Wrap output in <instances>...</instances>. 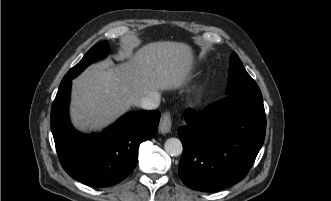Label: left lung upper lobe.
<instances>
[{"mask_svg": "<svg viewBox=\"0 0 331 201\" xmlns=\"http://www.w3.org/2000/svg\"><path fill=\"white\" fill-rule=\"evenodd\" d=\"M252 91H260V89L256 82L244 69L238 55L233 52L230 57L229 78L226 94L232 95Z\"/></svg>", "mask_w": 331, "mask_h": 201, "instance_id": "1", "label": "left lung upper lobe"}]
</instances>
